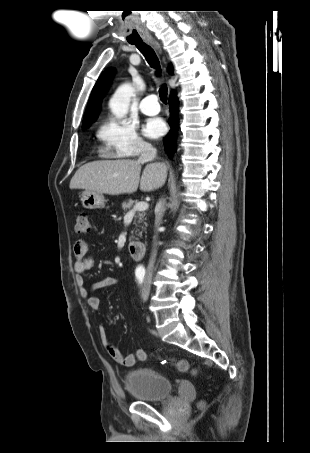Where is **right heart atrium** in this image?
Wrapping results in <instances>:
<instances>
[{
  "instance_id": "d8ad5b80",
  "label": "right heart atrium",
  "mask_w": 310,
  "mask_h": 453,
  "mask_svg": "<svg viewBox=\"0 0 310 453\" xmlns=\"http://www.w3.org/2000/svg\"><path fill=\"white\" fill-rule=\"evenodd\" d=\"M99 138L108 157H132L149 146L139 136L136 125L123 119H106L100 126Z\"/></svg>"
}]
</instances>
